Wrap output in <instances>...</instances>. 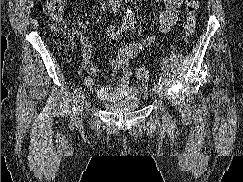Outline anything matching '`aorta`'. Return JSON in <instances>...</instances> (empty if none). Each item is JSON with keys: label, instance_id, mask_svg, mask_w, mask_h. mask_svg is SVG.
Wrapping results in <instances>:
<instances>
[{"label": "aorta", "instance_id": "obj_1", "mask_svg": "<svg viewBox=\"0 0 243 182\" xmlns=\"http://www.w3.org/2000/svg\"><path fill=\"white\" fill-rule=\"evenodd\" d=\"M133 17H134L133 12H132L131 10H129V9H126L124 19H125L126 21H130V20L133 19Z\"/></svg>", "mask_w": 243, "mask_h": 182}]
</instances>
